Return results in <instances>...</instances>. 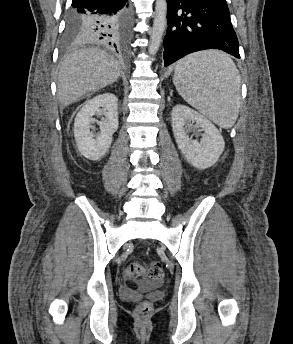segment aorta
<instances>
[{"label":"aorta","mask_w":293,"mask_h":344,"mask_svg":"<svg viewBox=\"0 0 293 344\" xmlns=\"http://www.w3.org/2000/svg\"><path fill=\"white\" fill-rule=\"evenodd\" d=\"M167 27V1L156 0L153 27L150 35L148 52L154 56L161 44L164 32Z\"/></svg>","instance_id":"aorta-1"}]
</instances>
